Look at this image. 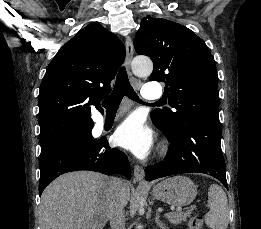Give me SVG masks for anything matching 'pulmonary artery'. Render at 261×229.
I'll return each mask as SVG.
<instances>
[{"mask_svg": "<svg viewBox=\"0 0 261 229\" xmlns=\"http://www.w3.org/2000/svg\"><path fill=\"white\" fill-rule=\"evenodd\" d=\"M142 90V96L146 99H159V95L162 94L160 84L142 85Z\"/></svg>", "mask_w": 261, "mask_h": 229, "instance_id": "1", "label": "pulmonary artery"}]
</instances>
